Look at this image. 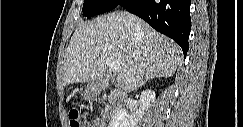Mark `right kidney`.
<instances>
[{"label": "right kidney", "instance_id": "obj_1", "mask_svg": "<svg viewBox=\"0 0 243 127\" xmlns=\"http://www.w3.org/2000/svg\"><path fill=\"white\" fill-rule=\"evenodd\" d=\"M155 92L151 89L144 90L140 95V107L132 115L126 109L118 110L111 118L109 127H135L147 111L155 102Z\"/></svg>", "mask_w": 243, "mask_h": 127}]
</instances>
